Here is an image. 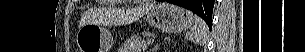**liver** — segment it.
<instances>
[{
    "label": "liver",
    "mask_w": 305,
    "mask_h": 52,
    "mask_svg": "<svg viewBox=\"0 0 305 52\" xmlns=\"http://www.w3.org/2000/svg\"><path fill=\"white\" fill-rule=\"evenodd\" d=\"M153 8L152 4L140 5L134 8L128 9H111L107 12L108 22L114 25H126L137 21L144 14H147ZM94 17L92 12L87 11L83 13L79 27L81 28L85 24L94 23Z\"/></svg>",
    "instance_id": "1"
}]
</instances>
